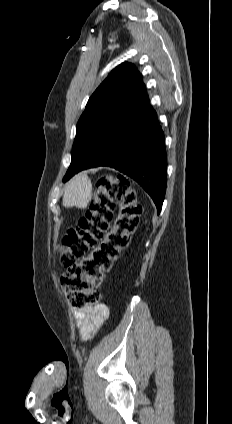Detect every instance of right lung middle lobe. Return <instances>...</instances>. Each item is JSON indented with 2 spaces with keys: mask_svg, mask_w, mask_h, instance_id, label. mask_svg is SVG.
<instances>
[{
  "mask_svg": "<svg viewBox=\"0 0 232 424\" xmlns=\"http://www.w3.org/2000/svg\"><path fill=\"white\" fill-rule=\"evenodd\" d=\"M132 110V107L111 105L83 112L76 127L71 164L63 181L80 171L87 158L113 130L130 122Z\"/></svg>",
  "mask_w": 232,
  "mask_h": 424,
  "instance_id": "dd1d6c3e",
  "label": "right lung middle lobe"
}]
</instances>
